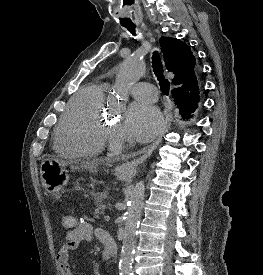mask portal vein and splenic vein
Returning <instances> with one entry per match:
<instances>
[{
  "mask_svg": "<svg viewBox=\"0 0 263 275\" xmlns=\"http://www.w3.org/2000/svg\"><path fill=\"white\" fill-rule=\"evenodd\" d=\"M105 220H106V221H109V220H110V217H109V216H105Z\"/></svg>",
  "mask_w": 263,
  "mask_h": 275,
  "instance_id": "1",
  "label": "portal vein and splenic vein"
}]
</instances>
